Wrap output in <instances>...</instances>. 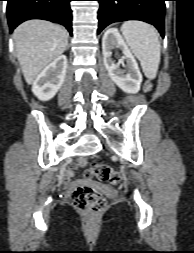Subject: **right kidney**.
<instances>
[{
  "label": "right kidney",
  "instance_id": "ca27d5eb",
  "mask_svg": "<svg viewBox=\"0 0 194 253\" xmlns=\"http://www.w3.org/2000/svg\"><path fill=\"white\" fill-rule=\"evenodd\" d=\"M67 69V58L60 55L37 76L32 85V92L42 101H48L61 88Z\"/></svg>",
  "mask_w": 194,
  "mask_h": 253
}]
</instances>
